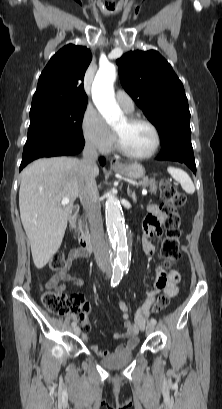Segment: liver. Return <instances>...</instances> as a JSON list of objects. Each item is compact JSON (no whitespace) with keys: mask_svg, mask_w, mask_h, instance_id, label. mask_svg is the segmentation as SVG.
Listing matches in <instances>:
<instances>
[{"mask_svg":"<svg viewBox=\"0 0 222 409\" xmlns=\"http://www.w3.org/2000/svg\"><path fill=\"white\" fill-rule=\"evenodd\" d=\"M98 167L95 176H98ZM80 194V160L41 158L21 173L19 208L34 265L43 268L61 246L68 215ZM69 203L62 205L63 198Z\"/></svg>","mask_w":222,"mask_h":409,"instance_id":"6515ba94","label":"liver"}]
</instances>
